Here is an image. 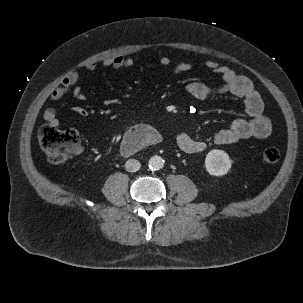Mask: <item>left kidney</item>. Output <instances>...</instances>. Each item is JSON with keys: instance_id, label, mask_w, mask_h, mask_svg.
Instances as JSON below:
<instances>
[{"instance_id": "5707ae66", "label": "left kidney", "mask_w": 303, "mask_h": 303, "mask_svg": "<svg viewBox=\"0 0 303 303\" xmlns=\"http://www.w3.org/2000/svg\"><path fill=\"white\" fill-rule=\"evenodd\" d=\"M231 160L223 150H211L205 158V168L210 175L223 176L231 168Z\"/></svg>"}]
</instances>
